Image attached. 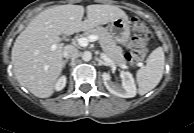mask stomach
<instances>
[{
	"label": "stomach",
	"instance_id": "obj_1",
	"mask_svg": "<svg viewBox=\"0 0 194 133\" xmlns=\"http://www.w3.org/2000/svg\"><path fill=\"white\" fill-rule=\"evenodd\" d=\"M109 32L113 38L125 45L130 37V23L128 18L119 17L109 24Z\"/></svg>",
	"mask_w": 194,
	"mask_h": 133
}]
</instances>
